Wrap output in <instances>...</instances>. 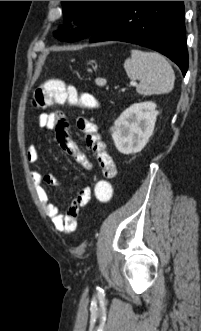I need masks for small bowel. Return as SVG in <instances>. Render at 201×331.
Masks as SVG:
<instances>
[{"label":"small bowel","instance_id":"c3829d8e","mask_svg":"<svg viewBox=\"0 0 201 331\" xmlns=\"http://www.w3.org/2000/svg\"><path fill=\"white\" fill-rule=\"evenodd\" d=\"M38 124L41 128L55 130L56 139L60 147L72 156L84 169L91 170L93 164L88 156L81 151L69 134V123L61 111L42 113L39 115ZM77 128L84 134L87 148L96 158L101 175L105 179H112L116 175L115 163L108 153L106 144L102 141L98 127L85 117H79L76 122ZM28 161L34 165L39 159L34 145H28L26 149ZM31 178L38 196L42 203L45 214L52 221L54 227L67 234L73 233L77 228V217L80 210L87 205L91 198V189L83 187L74 198L65 213H60L59 208L49 198L46 186H58L59 181L52 174L42 175L37 170L31 171Z\"/></svg>","mask_w":201,"mask_h":331}]
</instances>
